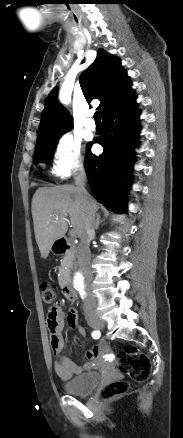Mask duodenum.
<instances>
[{
	"label": "duodenum",
	"mask_w": 183,
	"mask_h": 438,
	"mask_svg": "<svg viewBox=\"0 0 183 438\" xmlns=\"http://www.w3.org/2000/svg\"><path fill=\"white\" fill-rule=\"evenodd\" d=\"M56 253L65 254L70 250V244L66 238H60L55 242ZM63 291L69 301H76L77 294L70 282H65L63 285Z\"/></svg>",
	"instance_id": "duodenum-1"
}]
</instances>
